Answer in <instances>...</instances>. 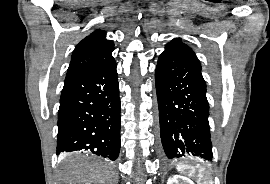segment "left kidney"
Masks as SVG:
<instances>
[{
    "label": "left kidney",
    "instance_id": "5707ae66",
    "mask_svg": "<svg viewBox=\"0 0 270 184\" xmlns=\"http://www.w3.org/2000/svg\"><path fill=\"white\" fill-rule=\"evenodd\" d=\"M167 184H195V183L191 181L189 178L175 175L168 179Z\"/></svg>",
    "mask_w": 270,
    "mask_h": 184
}]
</instances>
